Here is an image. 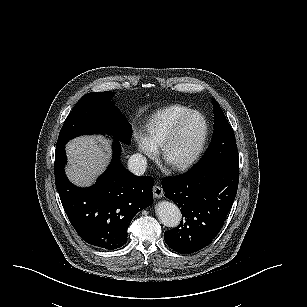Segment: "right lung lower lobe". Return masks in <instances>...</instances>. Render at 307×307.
<instances>
[{"label": "right lung lower lobe", "instance_id": "obj_1", "mask_svg": "<svg viewBox=\"0 0 307 307\" xmlns=\"http://www.w3.org/2000/svg\"><path fill=\"white\" fill-rule=\"evenodd\" d=\"M113 159L89 188L72 185L64 172L65 145L55 150V182L64 211L78 235L89 245L114 250L127 241L132 218L153 202V178L135 176L120 162V144Z\"/></svg>", "mask_w": 307, "mask_h": 307}]
</instances>
